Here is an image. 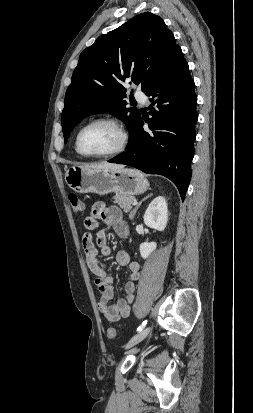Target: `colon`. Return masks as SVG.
<instances>
[{
	"label": "colon",
	"instance_id": "obj_1",
	"mask_svg": "<svg viewBox=\"0 0 253 413\" xmlns=\"http://www.w3.org/2000/svg\"><path fill=\"white\" fill-rule=\"evenodd\" d=\"M69 204L74 212H82L84 210V204L81 199L75 194H68ZM107 337L109 339H114L116 337V330L114 328H109L107 331Z\"/></svg>",
	"mask_w": 253,
	"mask_h": 413
}]
</instances>
